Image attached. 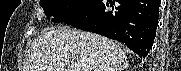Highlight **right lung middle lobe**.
<instances>
[{
	"mask_svg": "<svg viewBox=\"0 0 181 71\" xmlns=\"http://www.w3.org/2000/svg\"><path fill=\"white\" fill-rule=\"evenodd\" d=\"M95 0H40L46 16L54 17L53 22L64 20L77 15L89 7Z\"/></svg>",
	"mask_w": 181,
	"mask_h": 71,
	"instance_id": "obj_1",
	"label": "right lung middle lobe"
}]
</instances>
